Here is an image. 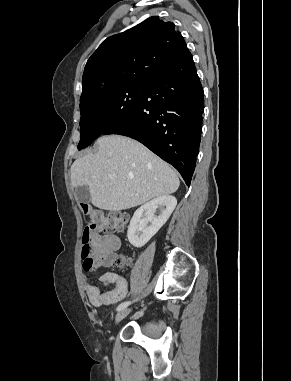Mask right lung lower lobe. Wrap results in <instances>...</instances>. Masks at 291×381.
Segmentation results:
<instances>
[{
	"label": "right lung lower lobe",
	"instance_id": "98d812e1",
	"mask_svg": "<svg viewBox=\"0 0 291 381\" xmlns=\"http://www.w3.org/2000/svg\"><path fill=\"white\" fill-rule=\"evenodd\" d=\"M203 103L202 85L185 49L146 82L134 114L104 134L138 140L173 165L190 185L201 140Z\"/></svg>",
	"mask_w": 291,
	"mask_h": 381
}]
</instances>
